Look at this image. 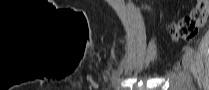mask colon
Wrapping results in <instances>:
<instances>
[{"label":"colon","instance_id":"1","mask_svg":"<svg viewBox=\"0 0 209 90\" xmlns=\"http://www.w3.org/2000/svg\"><path fill=\"white\" fill-rule=\"evenodd\" d=\"M209 14V0H199L196 6L177 22L169 23L167 30L173 40L191 39L202 27Z\"/></svg>","mask_w":209,"mask_h":90}]
</instances>
